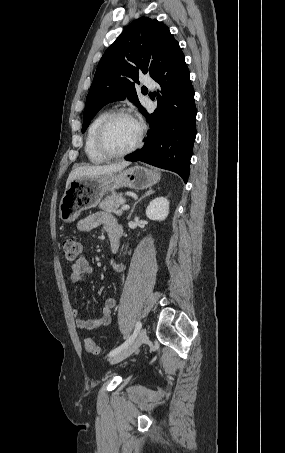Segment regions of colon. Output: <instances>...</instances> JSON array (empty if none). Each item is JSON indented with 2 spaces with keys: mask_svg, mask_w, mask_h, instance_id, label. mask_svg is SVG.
I'll return each mask as SVG.
<instances>
[{
  "mask_svg": "<svg viewBox=\"0 0 285 453\" xmlns=\"http://www.w3.org/2000/svg\"><path fill=\"white\" fill-rule=\"evenodd\" d=\"M62 249L64 251L65 257L68 260L73 261L80 257L82 252V245L77 239L73 237H67L62 242ZM85 349L88 353L93 355H97L100 353L98 345L95 343L94 340L90 338H87L85 340Z\"/></svg>",
  "mask_w": 285,
  "mask_h": 453,
  "instance_id": "colon-1",
  "label": "colon"
}]
</instances>
